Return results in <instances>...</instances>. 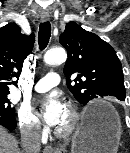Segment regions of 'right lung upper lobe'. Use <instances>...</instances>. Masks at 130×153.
Listing matches in <instances>:
<instances>
[{"label":"right lung upper lobe","instance_id":"obj_1","mask_svg":"<svg viewBox=\"0 0 130 153\" xmlns=\"http://www.w3.org/2000/svg\"><path fill=\"white\" fill-rule=\"evenodd\" d=\"M34 40V34H21L20 27L14 23L0 28V92H9V85H16L11 80L19 77Z\"/></svg>","mask_w":130,"mask_h":153}]
</instances>
